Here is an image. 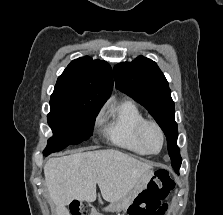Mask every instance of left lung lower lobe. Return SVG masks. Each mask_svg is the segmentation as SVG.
<instances>
[{"label": "left lung lower lobe", "instance_id": "obj_1", "mask_svg": "<svg viewBox=\"0 0 223 215\" xmlns=\"http://www.w3.org/2000/svg\"><path fill=\"white\" fill-rule=\"evenodd\" d=\"M174 170H175L176 172H178L179 168H174Z\"/></svg>", "mask_w": 223, "mask_h": 215}]
</instances>
